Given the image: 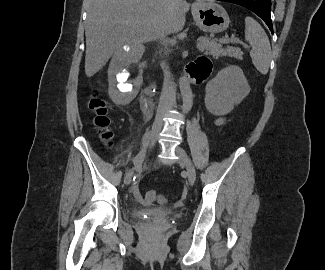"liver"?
Instances as JSON below:
<instances>
[{
    "label": "liver",
    "mask_w": 325,
    "mask_h": 270,
    "mask_svg": "<svg viewBox=\"0 0 325 270\" xmlns=\"http://www.w3.org/2000/svg\"><path fill=\"white\" fill-rule=\"evenodd\" d=\"M185 0H88L85 27V74L95 75L122 45L140 57L143 43L180 32L186 21Z\"/></svg>",
    "instance_id": "6515ba94"
}]
</instances>
